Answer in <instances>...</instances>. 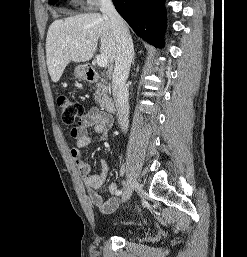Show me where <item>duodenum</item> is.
<instances>
[{"label": "duodenum", "instance_id": "obj_1", "mask_svg": "<svg viewBox=\"0 0 247 257\" xmlns=\"http://www.w3.org/2000/svg\"><path fill=\"white\" fill-rule=\"evenodd\" d=\"M85 78L89 82H96L100 79V74L91 66L85 69ZM103 108L107 113L115 112V102L112 98H106L103 102Z\"/></svg>", "mask_w": 247, "mask_h": 257}]
</instances>
